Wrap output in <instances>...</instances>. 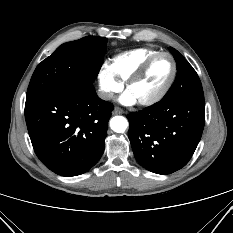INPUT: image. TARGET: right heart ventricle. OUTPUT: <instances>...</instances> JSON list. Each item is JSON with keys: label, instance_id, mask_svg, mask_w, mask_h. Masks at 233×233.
<instances>
[{"label": "right heart ventricle", "instance_id": "right-heart-ventricle-1", "mask_svg": "<svg viewBox=\"0 0 233 233\" xmlns=\"http://www.w3.org/2000/svg\"><path fill=\"white\" fill-rule=\"evenodd\" d=\"M158 52L151 48L127 51L112 58L109 68L122 83H125L148 58Z\"/></svg>", "mask_w": 233, "mask_h": 233}]
</instances>
